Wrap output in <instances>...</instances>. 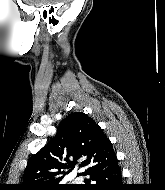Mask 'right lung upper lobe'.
<instances>
[{
	"instance_id": "1",
	"label": "right lung upper lobe",
	"mask_w": 165,
	"mask_h": 190,
	"mask_svg": "<svg viewBox=\"0 0 165 190\" xmlns=\"http://www.w3.org/2000/svg\"><path fill=\"white\" fill-rule=\"evenodd\" d=\"M113 154L112 144L98 124L84 113H73L61 121L55 137L31 156L19 190H55L69 186L59 184L64 177L60 174L72 171L78 159L83 160L79 167L87 171Z\"/></svg>"
}]
</instances>
